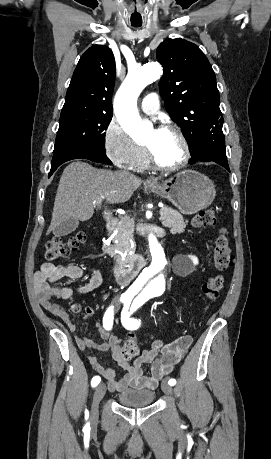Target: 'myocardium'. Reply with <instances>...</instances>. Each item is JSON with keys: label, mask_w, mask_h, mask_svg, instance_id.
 Returning <instances> with one entry per match:
<instances>
[{"label": "myocardium", "mask_w": 271, "mask_h": 459, "mask_svg": "<svg viewBox=\"0 0 271 459\" xmlns=\"http://www.w3.org/2000/svg\"><path fill=\"white\" fill-rule=\"evenodd\" d=\"M161 129L164 131L171 132L179 140L182 149L181 155L175 161H163L153 152V150L149 146L145 145V149L147 151L149 159L156 167H158L161 170H176L184 167L186 164H188L192 156L191 146L186 135L176 124L172 122L166 123L162 126Z\"/></svg>", "instance_id": "myocardium-1"}]
</instances>
